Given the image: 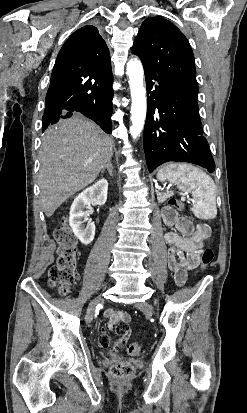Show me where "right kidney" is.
I'll use <instances>...</instances> for the list:
<instances>
[{"mask_svg": "<svg viewBox=\"0 0 247 413\" xmlns=\"http://www.w3.org/2000/svg\"><path fill=\"white\" fill-rule=\"evenodd\" d=\"M107 190L108 180L100 178L95 184L82 190L71 204L69 213L70 227L73 229L75 237H78L83 245L92 243L95 235V225L92 223V219H89V213L85 209H89V204H105ZM83 223H86V225H83Z\"/></svg>", "mask_w": 247, "mask_h": 413, "instance_id": "obj_1", "label": "right kidney"}]
</instances>
